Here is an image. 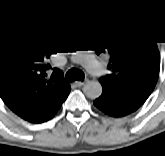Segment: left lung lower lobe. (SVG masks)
I'll list each match as a JSON object with an SVG mask.
<instances>
[{
	"mask_svg": "<svg viewBox=\"0 0 165 156\" xmlns=\"http://www.w3.org/2000/svg\"><path fill=\"white\" fill-rule=\"evenodd\" d=\"M103 91L93 103L111 117H123L135 112L140 106L119 95L111 86L101 82Z\"/></svg>",
	"mask_w": 165,
	"mask_h": 156,
	"instance_id": "left-lung-lower-lobe-1",
	"label": "left lung lower lobe"
}]
</instances>
